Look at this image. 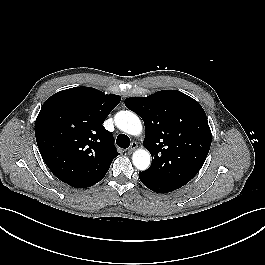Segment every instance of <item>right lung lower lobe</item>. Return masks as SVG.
Listing matches in <instances>:
<instances>
[{"mask_svg":"<svg viewBox=\"0 0 265 265\" xmlns=\"http://www.w3.org/2000/svg\"><path fill=\"white\" fill-rule=\"evenodd\" d=\"M103 177H104V176H103ZM103 177L98 178V179H96V180H94V181H91V182H89V183H86V184L78 185V186H76V188H86V187H90V186L94 185L95 183L99 182L100 180H102Z\"/></svg>","mask_w":265,"mask_h":265,"instance_id":"98d812e1","label":"right lung lower lobe"}]
</instances>
